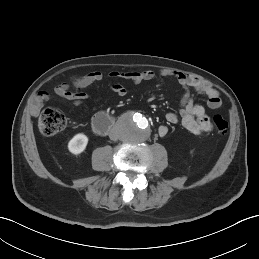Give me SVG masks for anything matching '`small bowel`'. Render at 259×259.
Masks as SVG:
<instances>
[{"label": "small bowel", "instance_id": "obj_1", "mask_svg": "<svg viewBox=\"0 0 259 259\" xmlns=\"http://www.w3.org/2000/svg\"><path fill=\"white\" fill-rule=\"evenodd\" d=\"M159 74L162 77L174 76L178 83L185 89V92L180 100L179 110L183 127L195 135L212 131L213 125L206 114L205 107L193 102L190 89H193L206 96L207 105L212 109H216L221 106L222 101L219 91L209 81L194 75L174 72L167 68L160 70ZM154 77L155 73L151 70L129 72L112 71L108 73L103 71H93L82 78L80 86H88L92 83L105 79H126L133 83H141L144 81H150ZM111 90L119 96H124L127 93L126 87L117 81L111 84ZM53 92L64 101H72L74 105H79L88 98L87 93H80L77 95L70 93L69 86L67 84H60L56 86L53 89ZM50 99L51 95L48 91L38 92L32 99V114L38 115L41 108ZM165 119L168 123L174 124L178 122L179 117L175 112H168L165 115ZM158 134L161 137L166 136L168 134L167 126H160L158 128Z\"/></svg>", "mask_w": 259, "mask_h": 259}]
</instances>
